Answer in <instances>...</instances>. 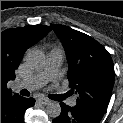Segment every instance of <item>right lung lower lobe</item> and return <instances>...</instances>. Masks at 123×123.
<instances>
[{
    "label": "right lung lower lobe",
    "instance_id": "right-lung-lower-lobe-1",
    "mask_svg": "<svg viewBox=\"0 0 123 123\" xmlns=\"http://www.w3.org/2000/svg\"><path fill=\"white\" fill-rule=\"evenodd\" d=\"M35 104V99L15 95L1 100V123H24V113Z\"/></svg>",
    "mask_w": 123,
    "mask_h": 123
}]
</instances>
